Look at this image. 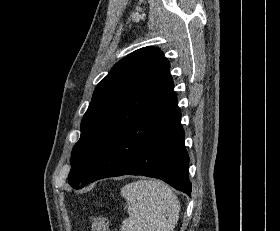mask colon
Instances as JSON below:
<instances>
[{"label":"colon","instance_id":"colon-1","mask_svg":"<svg viewBox=\"0 0 280 231\" xmlns=\"http://www.w3.org/2000/svg\"><path fill=\"white\" fill-rule=\"evenodd\" d=\"M91 231H109L108 221L101 214L91 216Z\"/></svg>","mask_w":280,"mask_h":231}]
</instances>
